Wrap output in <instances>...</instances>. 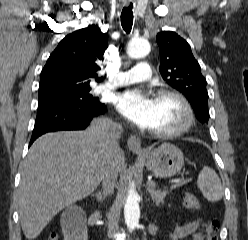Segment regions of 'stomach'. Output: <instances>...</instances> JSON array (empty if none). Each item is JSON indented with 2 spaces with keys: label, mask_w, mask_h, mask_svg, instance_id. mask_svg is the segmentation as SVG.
<instances>
[{
  "label": "stomach",
  "mask_w": 248,
  "mask_h": 240,
  "mask_svg": "<svg viewBox=\"0 0 248 240\" xmlns=\"http://www.w3.org/2000/svg\"><path fill=\"white\" fill-rule=\"evenodd\" d=\"M140 158L147 169L163 178L175 175L184 165L182 151L171 143H163L152 151H147Z\"/></svg>",
  "instance_id": "1"
}]
</instances>
